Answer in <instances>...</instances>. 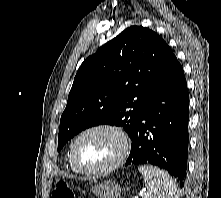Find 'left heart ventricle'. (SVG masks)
Here are the masks:
<instances>
[{
    "mask_svg": "<svg viewBox=\"0 0 221 198\" xmlns=\"http://www.w3.org/2000/svg\"><path fill=\"white\" fill-rule=\"evenodd\" d=\"M119 139L109 131H95L83 136L76 145L78 163L98 169L111 163L120 151Z\"/></svg>",
    "mask_w": 221,
    "mask_h": 198,
    "instance_id": "obj_1",
    "label": "left heart ventricle"
}]
</instances>
